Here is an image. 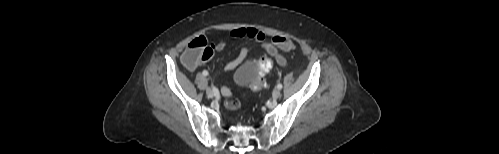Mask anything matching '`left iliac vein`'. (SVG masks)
<instances>
[{
  "instance_id": "obj_1",
  "label": "left iliac vein",
  "mask_w": 499,
  "mask_h": 154,
  "mask_svg": "<svg viewBox=\"0 0 499 154\" xmlns=\"http://www.w3.org/2000/svg\"><path fill=\"white\" fill-rule=\"evenodd\" d=\"M281 96V92L278 88L274 89L272 92L273 99H278Z\"/></svg>"
}]
</instances>
